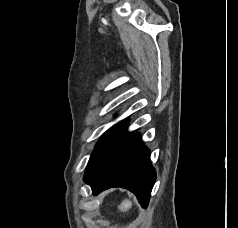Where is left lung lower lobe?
Instances as JSON below:
<instances>
[{"instance_id": "0a47b994", "label": "left lung lower lobe", "mask_w": 238, "mask_h": 228, "mask_svg": "<svg viewBox=\"0 0 238 228\" xmlns=\"http://www.w3.org/2000/svg\"><path fill=\"white\" fill-rule=\"evenodd\" d=\"M127 125L117 133L96 170L84 180L94 195L110 187H123L147 207L156 172L150 150L143 145L140 134L126 132Z\"/></svg>"}]
</instances>
